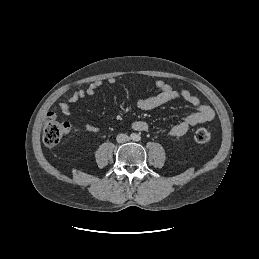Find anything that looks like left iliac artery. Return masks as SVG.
<instances>
[{
  "instance_id": "44dca946",
  "label": "left iliac artery",
  "mask_w": 259,
  "mask_h": 259,
  "mask_svg": "<svg viewBox=\"0 0 259 259\" xmlns=\"http://www.w3.org/2000/svg\"><path fill=\"white\" fill-rule=\"evenodd\" d=\"M141 139V137L140 136H137V140L139 141Z\"/></svg>"
}]
</instances>
